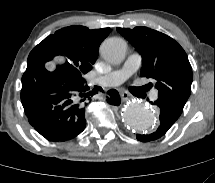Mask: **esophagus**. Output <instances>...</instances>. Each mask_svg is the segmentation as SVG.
Masks as SVG:
<instances>
[{"mask_svg": "<svg viewBox=\"0 0 215 183\" xmlns=\"http://www.w3.org/2000/svg\"><path fill=\"white\" fill-rule=\"evenodd\" d=\"M121 97H122V100H123L124 102L130 100V98H131L130 94H128L127 92H123V93L121 94Z\"/></svg>", "mask_w": 215, "mask_h": 183, "instance_id": "obj_1", "label": "esophagus"}]
</instances>
